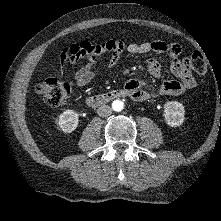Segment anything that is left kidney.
I'll return each instance as SVG.
<instances>
[{"mask_svg": "<svg viewBox=\"0 0 221 221\" xmlns=\"http://www.w3.org/2000/svg\"><path fill=\"white\" fill-rule=\"evenodd\" d=\"M185 109L182 103L168 101L164 104V117L168 126L177 127L184 122Z\"/></svg>", "mask_w": 221, "mask_h": 221, "instance_id": "obj_1", "label": "left kidney"}]
</instances>
